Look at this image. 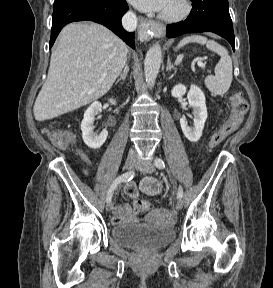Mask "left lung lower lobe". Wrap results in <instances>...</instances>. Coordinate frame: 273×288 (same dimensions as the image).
<instances>
[{"instance_id": "obj_1", "label": "left lung lower lobe", "mask_w": 273, "mask_h": 288, "mask_svg": "<svg viewBox=\"0 0 273 288\" xmlns=\"http://www.w3.org/2000/svg\"><path fill=\"white\" fill-rule=\"evenodd\" d=\"M192 10L185 21L167 26V37L210 31L225 38L235 51V37L228 0H191Z\"/></svg>"}]
</instances>
